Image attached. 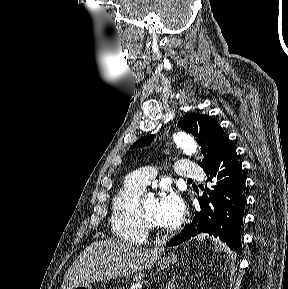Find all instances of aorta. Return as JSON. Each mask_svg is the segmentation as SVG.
I'll use <instances>...</instances> for the list:
<instances>
[{
	"label": "aorta",
	"mask_w": 288,
	"mask_h": 289,
	"mask_svg": "<svg viewBox=\"0 0 288 289\" xmlns=\"http://www.w3.org/2000/svg\"><path fill=\"white\" fill-rule=\"evenodd\" d=\"M175 144L187 154H195L197 144L189 135L179 132L173 136Z\"/></svg>",
	"instance_id": "obj_1"
}]
</instances>
